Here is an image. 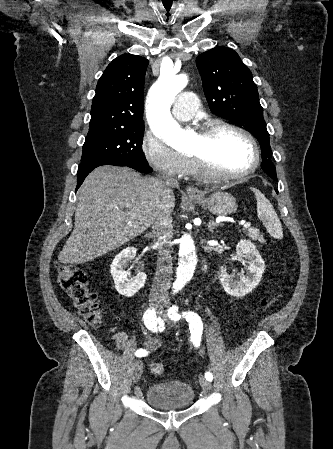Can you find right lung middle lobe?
Wrapping results in <instances>:
<instances>
[{
	"instance_id": "1",
	"label": "right lung middle lobe",
	"mask_w": 333,
	"mask_h": 449,
	"mask_svg": "<svg viewBox=\"0 0 333 449\" xmlns=\"http://www.w3.org/2000/svg\"><path fill=\"white\" fill-rule=\"evenodd\" d=\"M142 138L143 124L89 128L83 145L81 164L122 162L148 165L142 151Z\"/></svg>"
}]
</instances>
